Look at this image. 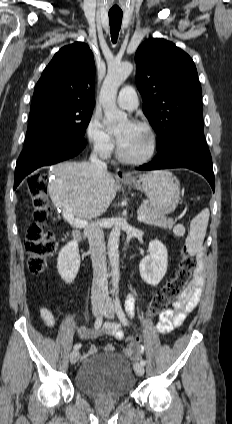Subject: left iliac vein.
Segmentation results:
<instances>
[{"instance_id": "left-iliac-vein-1", "label": "left iliac vein", "mask_w": 232, "mask_h": 424, "mask_svg": "<svg viewBox=\"0 0 232 424\" xmlns=\"http://www.w3.org/2000/svg\"><path fill=\"white\" fill-rule=\"evenodd\" d=\"M114 305L110 299L105 303V307L103 309V315L109 319L114 317ZM134 371L136 375L143 376L144 374V366L141 363L134 364Z\"/></svg>"}]
</instances>
